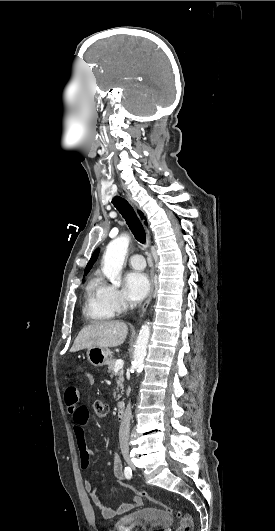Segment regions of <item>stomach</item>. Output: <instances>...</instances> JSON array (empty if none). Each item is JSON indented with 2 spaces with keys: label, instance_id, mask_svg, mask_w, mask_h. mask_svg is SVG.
<instances>
[{
  "label": "stomach",
  "instance_id": "stomach-1",
  "mask_svg": "<svg viewBox=\"0 0 275 531\" xmlns=\"http://www.w3.org/2000/svg\"><path fill=\"white\" fill-rule=\"evenodd\" d=\"M87 359L94 367H103V365H108L109 361H112V353L110 349L93 345V347L87 349Z\"/></svg>",
  "mask_w": 275,
  "mask_h": 531
}]
</instances>
